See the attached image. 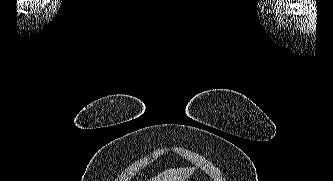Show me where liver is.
Masks as SVG:
<instances>
[{
    "instance_id": "1",
    "label": "liver",
    "mask_w": 333,
    "mask_h": 181,
    "mask_svg": "<svg viewBox=\"0 0 333 181\" xmlns=\"http://www.w3.org/2000/svg\"><path fill=\"white\" fill-rule=\"evenodd\" d=\"M193 171L194 168H171L148 181H185L192 175Z\"/></svg>"
}]
</instances>
